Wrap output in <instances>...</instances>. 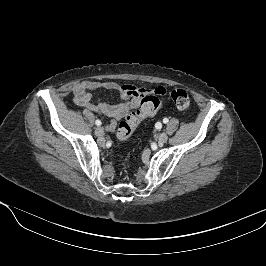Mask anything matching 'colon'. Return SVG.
I'll use <instances>...</instances> for the list:
<instances>
[{
    "label": "colon",
    "mask_w": 266,
    "mask_h": 266,
    "mask_svg": "<svg viewBox=\"0 0 266 266\" xmlns=\"http://www.w3.org/2000/svg\"><path fill=\"white\" fill-rule=\"evenodd\" d=\"M161 95L146 94L142 97L140 109L129 114L120 124L117 130V138L120 142L127 141L133 130L145 118L154 116L161 108L163 100ZM173 104L180 110L188 109L191 100L188 93L184 89H174L170 94Z\"/></svg>",
    "instance_id": "colon-1"
}]
</instances>
